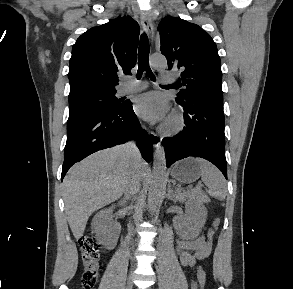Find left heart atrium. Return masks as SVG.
<instances>
[{
	"instance_id": "1",
	"label": "left heart atrium",
	"mask_w": 293,
	"mask_h": 289,
	"mask_svg": "<svg viewBox=\"0 0 293 289\" xmlns=\"http://www.w3.org/2000/svg\"><path fill=\"white\" fill-rule=\"evenodd\" d=\"M135 112L151 122L163 120L168 114V103L164 96L157 92L140 95L134 105Z\"/></svg>"
}]
</instances>
